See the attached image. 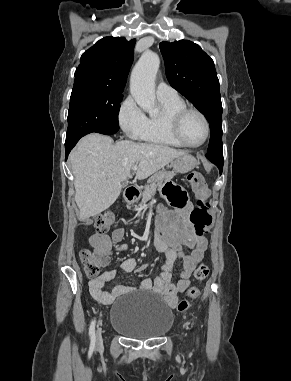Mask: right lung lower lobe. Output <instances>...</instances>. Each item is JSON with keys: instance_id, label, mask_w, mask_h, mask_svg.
Returning a JSON list of instances; mask_svg holds the SVG:
<instances>
[{"instance_id": "right-lung-lower-lobe-1", "label": "right lung lower lobe", "mask_w": 291, "mask_h": 381, "mask_svg": "<svg viewBox=\"0 0 291 381\" xmlns=\"http://www.w3.org/2000/svg\"><path fill=\"white\" fill-rule=\"evenodd\" d=\"M118 130H119V127H115V128H111L108 130L101 131L100 133L105 134V135H110V134L116 133ZM77 142L78 141L65 142L66 160L68 158V154L70 153L71 149L76 145Z\"/></svg>"}]
</instances>
